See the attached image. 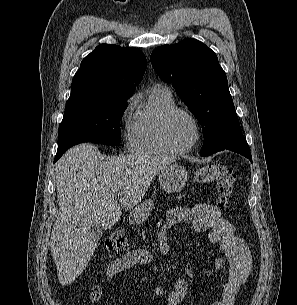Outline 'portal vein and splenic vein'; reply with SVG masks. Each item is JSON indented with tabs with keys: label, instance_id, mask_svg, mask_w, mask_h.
<instances>
[{
	"label": "portal vein and splenic vein",
	"instance_id": "18ae733b",
	"mask_svg": "<svg viewBox=\"0 0 297 305\" xmlns=\"http://www.w3.org/2000/svg\"><path fill=\"white\" fill-rule=\"evenodd\" d=\"M115 196H118V197H119V194H118V193H116V194H115Z\"/></svg>",
	"mask_w": 297,
	"mask_h": 305
}]
</instances>
